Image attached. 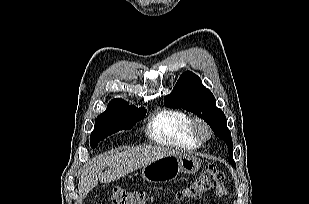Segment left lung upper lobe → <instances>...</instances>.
Returning a JSON list of instances; mask_svg holds the SVG:
<instances>
[{"mask_svg": "<svg viewBox=\"0 0 309 204\" xmlns=\"http://www.w3.org/2000/svg\"><path fill=\"white\" fill-rule=\"evenodd\" d=\"M215 103L216 100L211 91L204 87L201 79L190 71L180 76L172 93L164 98L166 106L192 112L210 125L214 134L224 140L228 146L229 163L236 166L232 157L233 143L231 133L226 126V117Z\"/></svg>", "mask_w": 309, "mask_h": 204, "instance_id": "left-lung-upper-lobe-1", "label": "left lung upper lobe"}]
</instances>
